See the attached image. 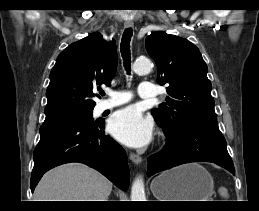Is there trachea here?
Returning <instances> with one entry per match:
<instances>
[{"label":"trachea","instance_id":"3493384b","mask_svg":"<svg viewBox=\"0 0 259 211\" xmlns=\"http://www.w3.org/2000/svg\"><path fill=\"white\" fill-rule=\"evenodd\" d=\"M132 29L128 28L124 31L121 44H120V50L121 54L124 60V66L127 71H130V64H131V56H130V41L132 37ZM101 95H104V91L100 92Z\"/></svg>","mask_w":259,"mask_h":211}]
</instances>
